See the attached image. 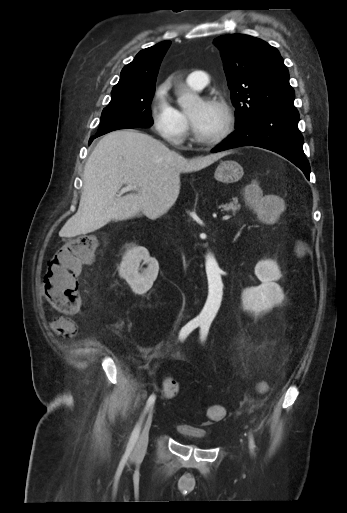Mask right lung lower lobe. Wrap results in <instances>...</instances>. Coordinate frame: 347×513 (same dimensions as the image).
Segmentation results:
<instances>
[{
  "mask_svg": "<svg viewBox=\"0 0 347 513\" xmlns=\"http://www.w3.org/2000/svg\"><path fill=\"white\" fill-rule=\"evenodd\" d=\"M98 136H99V135H95V136L91 137V138H90V140H89V144L93 141V139H95V138H96V137H98Z\"/></svg>",
  "mask_w": 347,
  "mask_h": 513,
  "instance_id": "right-lung-lower-lobe-1",
  "label": "right lung lower lobe"
}]
</instances>
